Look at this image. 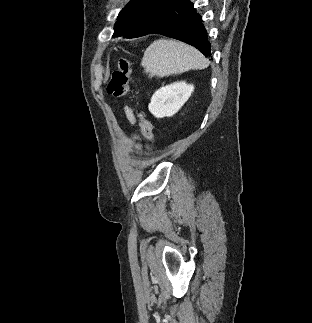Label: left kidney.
Listing matches in <instances>:
<instances>
[{
    "label": "left kidney",
    "instance_id": "1",
    "mask_svg": "<svg viewBox=\"0 0 312 323\" xmlns=\"http://www.w3.org/2000/svg\"><path fill=\"white\" fill-rule=\"evenodd\" d=\"M193 90L194 86L185 84V82H175V84L160 88L151 98L148 106L149 112L155 118H165V116L170 118L187 102Z\"/></svg>",
    "mask_w": 312,
    "mask_h": 323
}]
</instances>
